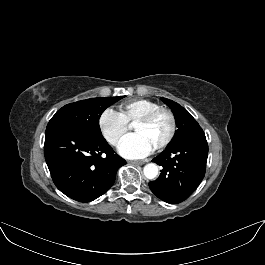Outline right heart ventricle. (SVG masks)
<instances>
[{
    "instance_id": "1",
    "label": "right heart ventricle",
    "mask_w": 265,
    "mask_h": 265,
    "mask_svg": "<svg viewBox=\"0 0 265 265\" xmlns=\"http://www.w3.org/2000/svg\"><path fill=\"white\" fill-rule=\"evenodd\" d=\"M158 107H160V105L155 101L145 98H136L120 104L118 106V113L122 119L130 125L147 112Z\"/></svg>"
}]
</instances>
